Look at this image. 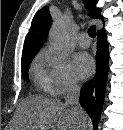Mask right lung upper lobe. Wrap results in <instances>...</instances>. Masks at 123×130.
I'll use <instances>...</instances> for the list:
<instances>
[{
	"mask_svg": "<svg viewBox=\"0 0 123 130\" xmlns=\"http://www.w3.org/2000/svg\"><path fill=\"white\" fill-rule=\"evenodd\" d=\"M97 1L98 0H85V6L93 18L101 19V10L95 6ZM51 24L52 18L48 7L42 8L35 14L24 42L22 56L37 54L47 39Z\"/></svg>",
	"mask_w": 123,
	"mask_h": 130,
	"instance_id": "cb5924a9",
	"label": "right lung upper lobe"
}]
</instances>
